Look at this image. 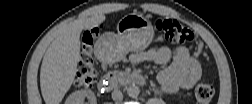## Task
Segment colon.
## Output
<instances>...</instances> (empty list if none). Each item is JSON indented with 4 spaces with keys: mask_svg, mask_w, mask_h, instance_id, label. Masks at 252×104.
Instances as JSON below:
<instances>
[{
    "mask_svg": "<svg viewBox=\"0 0 252 104\" xmlns=\"http://www.w3.org/2000/svg\"><path fill=\"white\" fill-rule=\"evenodd\" d=\"M155 28L161 33L164 41L169 43H185L194 39V33L175 19H158L155 22ZM96 36L97 33L94 30L86 31L82 36L81 62L74 80V85L77 88L89 87L96 79L92 57V45ZM213 95V87L207 82H200L195 88V98L199 103L210 102Z\"/></svg>",
    "mask_w": 252,
    "mask_h": 104,
    "instance_id": "5ec220e1",
    "label": "colon"
}]
</instances>
